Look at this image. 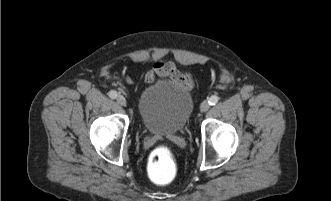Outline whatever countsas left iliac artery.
<instances>
[{
    "mask_svg": "<svg viewBox=\"0 0 331 201\" xmlns=\"http://www.w3.org/2000/svg\"><path fill=\"white\" fill-rule=\"evenodd\" d=\"M218 101H219V97L214 95L210 97L208 102L210 105H215Z\"/></svg>",
    "mask_w": 331,
    "mask_h": 201,
    "instance_id": "obj_1",
    "label": "left iliac artery"
}]
</instances>
